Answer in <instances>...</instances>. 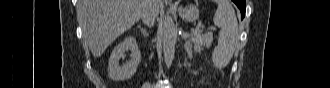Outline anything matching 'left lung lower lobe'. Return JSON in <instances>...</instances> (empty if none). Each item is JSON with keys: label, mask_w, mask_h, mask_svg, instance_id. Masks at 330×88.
Wrapping results in <instances>:
<instances>
[{"label": "left lung lower lobe", "mask_w": 330, "mask_h": 88, "mask_svg": "<svg viewBox=\"0 0 330 88\" xmlns=\"http://www.w3.org/2000/svg\"><path fill=\"white\" fill-rule=\"evenodd\" d=\"M240 9L241 11V18L243 19L245 16V11H246V4L245 0H232Z\"/></svg>", "instance_id": "obj_1"}]
</instances>
